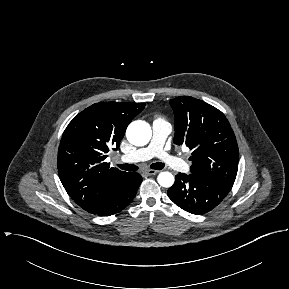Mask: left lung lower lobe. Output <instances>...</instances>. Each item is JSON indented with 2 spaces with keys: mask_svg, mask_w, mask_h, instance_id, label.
<instances>
[{
  "mask_svg": "<svg viewBox=\"0 0 289 289\" xmlns=\"http://www.w3.org/2000/svg\"><path fill=\"white\" fill-rule=\"evenodd\" d=\"M231 188L210 179L179 173L168 189L169 198L183 210L200 215L213 210Z\"/></svg>",
  "mask_w": 289,
  "mask_h": 289,
  "instance_id": "1",
  "label": "left lung lower lobe"
}]
</instances>
